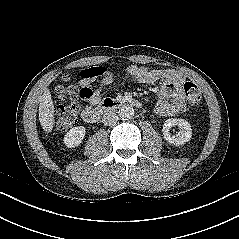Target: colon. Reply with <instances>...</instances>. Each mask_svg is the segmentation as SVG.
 Returning a JSON list of instances; mask_svg holds the SVG:
<instances>
[{
	"label": "colon",
	"instance_id": "colon-1",
	"mask_svg": "<svg viewBox=\"0 0 239 239\" xmlns=\"http://www.w3.org/2000/svg\"><path fill=\"white\" fill-rule=\"evenodd\" d=\"M94 74L100 76L105 74L109 77L112 75L101 67L95 69ZM182 89L190 104L198 105L201 102L200 90L193 82H185ZM57 94L61 101L56 111L57 125L62 130H68L75 125L79 112L77 89L72 85H63L57 89Z\"/></svg>",
	"mask_w": 239,
	"mask_h": 239
}]
</instances>
